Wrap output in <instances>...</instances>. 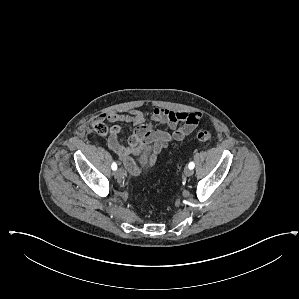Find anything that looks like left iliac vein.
<instances>
[{
  "mask_svg": "<svg viewBox=\"0 0 299 299\" xmlns=\"http://www.w3.org/2000/svg\"><path fill=\"white\" fill-rule=\"evenodd\" d=\"M184 175L187 176V177L192 176V175H193V170L190 169V168H186V169L184 170Z\"/></svg>",
  "mask_w": 299,
  "mask_h": 299,
  "instance_id": "1",
  "label": "left iliac vein"
}]
</instances>
